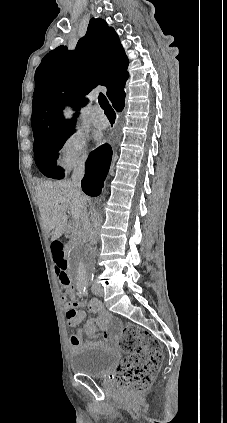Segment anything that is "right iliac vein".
Returning a JSON list of instances; mask_svg holds the SVG:
<instances>
[{"mask_svg":"<svg viewBox=\"0 0 227 423\" xmlns=\"http://www.w3.org/2000/svg\"><path fill=\"white\" fill-rule=\"evenodd\" d=\"M100 293L103 295V291L101 290Z\"/></svg>","mask_w":227,"mask_h":423,"instance_id":"1","label":"right iliac vein"}]
</instances>
